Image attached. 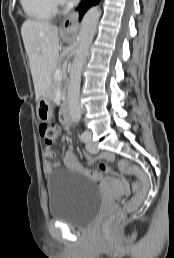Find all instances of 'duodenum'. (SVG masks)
I'll return each mask as SVG.
<instances>
[{
    "instance_id": "duodenum-1",
    "label": "duodenum",
    "mask_w": 174,
    "mask_h": 258,
    "mask_svg": "<svg viewBox=\"0 0 174 258\" xmlns=\"http://www.w3.org/2000/svg\"><path fill=\"white\" fill-rule=\"evenodd\" d=\"M60 118L63 123L67 124L70 122L71 116H70V105L67 100H65L62 103L61 111H60Z\"/></svg>"
}]
</instances>
